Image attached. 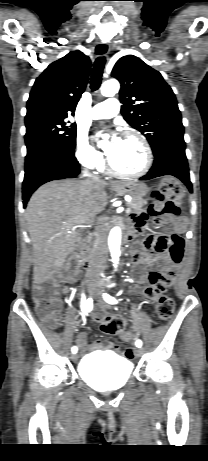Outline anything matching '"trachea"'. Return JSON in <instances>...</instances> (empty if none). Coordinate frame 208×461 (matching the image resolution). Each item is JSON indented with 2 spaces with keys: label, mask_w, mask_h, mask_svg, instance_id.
Instances as JSON below:
<instances>
[{
  "label": "trachea",
  "mask_w": 208,
  "mask_h": 461,
  "mask_svg": "<svg viewBox=\"0 0 208 461\" xmlns=\"http://www.w3.org/2000/svg\"><path fill=\"white\" fill-rule=\"evenodd\" d=\"M105 65V57H98L94 63L90 87L92 91H96L101 84L102 73Z\"/></svg>",
  "instance_id": "obj_1"
}]
</instances>
